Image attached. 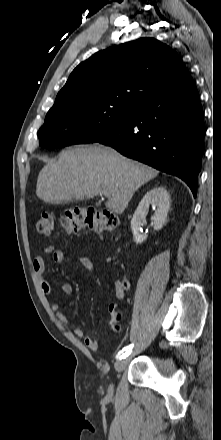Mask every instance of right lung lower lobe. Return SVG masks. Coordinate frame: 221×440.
I'll return each mask as SVG.
<instances>
[{"instance_id": "1", "label": "right lung lower lobe", "mask_w": 221, "mask_h": 440, "mask_svg": "<svg viewBox=\"0 0 221 440\" xmlns=\"http://www.w3.org/2000/svg\"><path fill=\"white\" fill-rule=\"evenodd\" d=\"M98 142L181 178L196 197L204 120L195 85L191 82L139 104L124 124Z\"/></svg>"}]
</instances>
